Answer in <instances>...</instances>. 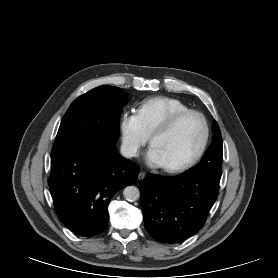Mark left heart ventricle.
<instances>
[{"instance_id":"left-heart-ventricle-1","label":"left heart ventricle","mask_w":278,"mask_h":278,"mask_svg":"<svg viewBox=\"0 0 278 278\" xmlns=\"http://www.w3.org/2000/svg\"><path fill=\"white\" fill-rule=\"evenodd\" d=\"M202 138L200 118L188 116L170 132L155 137L152 145L158 150L164 166H171L190 158L199 148Z\"/></svg>"}]
</instances>
